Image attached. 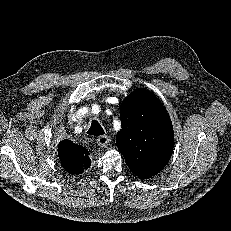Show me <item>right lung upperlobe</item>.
Wrapping results in <instances>:
<instances>
[{
    "label": "right lung upper lobe",
    "instance_id": "right-lung-upper-lobe-1",
    "mask_svg": "<svg viewBox=\"0 0 231 231\" xmlns=\"http://www.w3.org/2000/svg\"><path fill=\"white\" fill-rule=\"evenodd\" d=\"M58 155L62 167L71 174H79L91 165L89 152L68 149L61 145V142L58 146Z\"/></svg>",
    "mask_w": 231,
    "mask_h": 231
}]
</instances>
